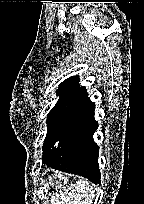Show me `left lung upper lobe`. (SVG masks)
Here are the masks:
<instances>
[{
	"mask_svg": "<svg viewBox=\"0 0 144 204\" xmlns=\"http://www.w3.org/2000/svg\"><path fill=\"white\" fill-rule=\"evenodd\" d=\"M78 83V76L69 77L56 91L59 100L47 114V134L43 144V154L64 140L68 133L69 121L87 98V92Z\"/></svg>",
	"mask_w": 144,
	"mask_h": 204,
	"instance_id": "1",
	"label": "left lung upper lobe"
}]
</instances>
